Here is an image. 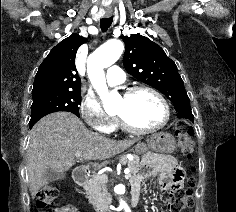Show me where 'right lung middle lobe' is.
<instances>
[{"mask_svg": "<svg viewBox=\"0 0 236 212\" xmlns=\"http://www.w3.org/2000/svg\"><path fill=\"white\" fill-rule=\"evenodd\" d=\"M80 103L81 91H50L33 95L29 126L43 116L58 111H68L80 117Z\"/></svg>", "mask_w": 236, "mask_h": 212, "instance_id": "1", "label": "right lung middle lobe"}]
</instances>
